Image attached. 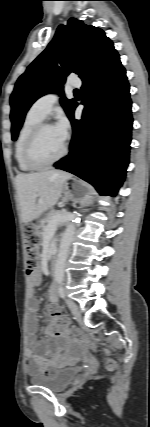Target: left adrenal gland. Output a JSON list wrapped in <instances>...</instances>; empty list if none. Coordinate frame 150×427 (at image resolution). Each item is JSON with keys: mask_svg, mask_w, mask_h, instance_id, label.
I'll use <instances>...</instances> for the list:
<instances>
[{"mask_svg": "<svg viewBox=\"0 0 150 427\" xmlns=\"http://www.w3.org/2000/svg\"><path fill=\"white\" fill-rule=\"evenodd\" d=\"M89 204H91V202H89V203H85V204H82V205H81V207H83V206H88Z\"/></svg>", "mask_w": 150, "mask_h": 427, "instance_id": "obj_1", "label": "left adrenal gland"}]
</instances>
